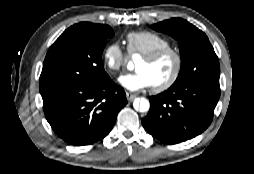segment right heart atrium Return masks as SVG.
Listing matches in <instances>:
<instances>
[{"instance_id":"d8ad5b80","label":"right heart atrium","mask_w":254,"mask_h":174,"mask_svg":"<svg viewBox=\"0 0 254 174\" xmlns=\"http://www.w3.org/2000/svg\"><path fill=\"white\" fill-rule=\"evenodd\" d=\"M104 65L109 71L118 72L128 62V55L116 41L109 43L102 55Z\"/></svg>"}]
</instances>
